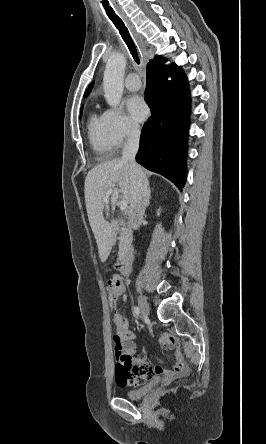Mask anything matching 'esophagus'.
Masks as SVG:
<instances>
[{
    "instance_id": "esophagus-1",
    "label": "esophagus",
    "mask_w": 266,
    "mask_h": 444,
    "mask_svg": "<svg viewBox=\"0 0 266 444\" xmlns=\"http://www.w3.org/2000/svg\"><path fill=\"white\" fill-rule=\"evenodd\" d=\"M121 14H122L123 17H125L123 13H121ZM127 22H128V21H127Z\"/></svg>"
}]
</instances>
